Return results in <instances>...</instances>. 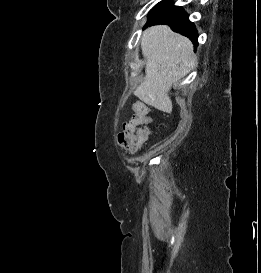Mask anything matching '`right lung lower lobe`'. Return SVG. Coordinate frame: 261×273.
I'll return each mask as SVG.
<instances>
[{
	"instance_id": "right-lung-lower-lobe-1",
	"label": "right lung lower lobe",
	"mask_w": 261,
	"mask_h": 273,
	"mask_svg": "<svg viewBox=\"0 0 261 273\" xmlns=\"http://www.w3.org/2000/svg\"><path fill=\"white\" fill-rule=\"evenodd\" d=\"M169 9L163 14L157 16H149L146 26L155 24H168L172 30L184 36H187L195 45H198V33L192 22L189 21L188 15L181 7L173 6L169 1Z\"/></svg>"
}]
</instances>
